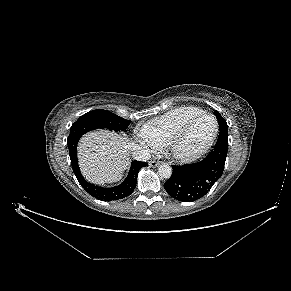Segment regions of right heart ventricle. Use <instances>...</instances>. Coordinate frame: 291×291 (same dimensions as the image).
Instances as JSON below:
<instances>
[{
    "label": "right heart ventricle",
    "mask_w": 291,
    "mask_h": 291,
    "mask_svg": "<svg viewBox=\"0 0 291 291\" xmlns=\"http://www.w3.org/2000/svg\"><path fill=\"white\" fill-rule=\"evenodd\" d=\"M204 112L201 108L185 106L172 109L145 124L141 135L153 148L166 146L169 139L192 117Z\"/></svg>",
    "instance_id": "obj_1"
}]
</instances>
